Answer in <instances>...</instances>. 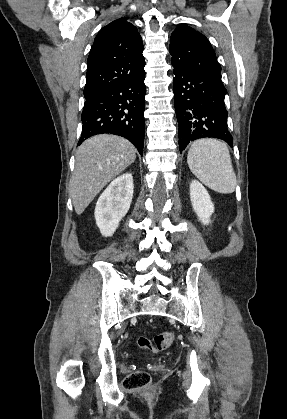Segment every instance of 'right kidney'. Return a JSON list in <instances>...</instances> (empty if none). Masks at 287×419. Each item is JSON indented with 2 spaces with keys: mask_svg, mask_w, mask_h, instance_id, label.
I'll return each mask as SVG.
<instances>
[{
  "mask_svg": "<svg viewBox=\"0 0 287 419\" xmlns=\"http://www.w3.org/2000/svg\"><path fill=\"white\" fill-rule=\"evenodd\" d=\"M133 189V176L125 173L114 179L99 197L94 216L103 236H112L121 219L127 214L133 198Z\"/></svg>",
  "mask_w": 287,
  "mask_h": 419,
  "instance_id": "right-kidney-1",
  "label": "right kidney"
}]
</instances>
